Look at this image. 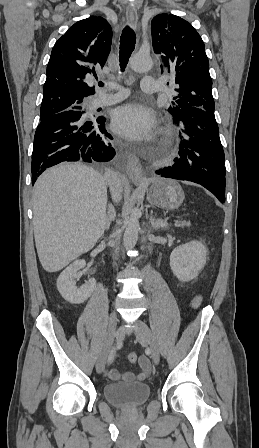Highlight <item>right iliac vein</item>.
I'll list each match as a JSON object with an SVG mask.
<instances>
[{"instance_id": "63e3f726", "label": "right iliac vein", "mask_w": 259, "mask_h": 448, "mask_svg": "<svg viewBox=\"0 0 259 448\" xmlns=\"http://www.w3.org/2000/svg\"><path fill=\"white\" fill-rule=\"evenodd\" d=\"M116 325H117V314L115 311H112L109 316V324L104 345L100 353V356L96 362V371L99 374L104 371L106 359L114 342Z\"/></svg>"}]
</instances>
